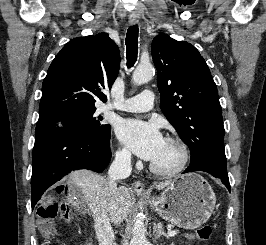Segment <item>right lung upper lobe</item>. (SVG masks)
I'll return each mask as SVG.
<instances>
[{
  "instance_id": "1",
  "label": "right lung upper lobe",
  "mask_w": 266,
  "mask_h": 245,
  "mask_svg": "<svg viewBox=\"0 0 266 245\" xmlns=\"http://www.w3.org/2000/svg\"><path fill=\"white\" fill-rule=\"evenodd\" d=\"M120 65V52L105 32L70 40L52 61L42 85L39 121L107 101Z\"/></svg>"
}]
</instances>
